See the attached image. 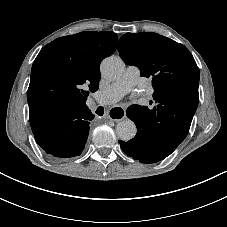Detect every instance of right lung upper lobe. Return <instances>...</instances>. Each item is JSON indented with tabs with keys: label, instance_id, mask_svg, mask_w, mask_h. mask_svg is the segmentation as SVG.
<instances>
[{
	"label": "right lung upper lobe",
	"instance_id": "right-lung-upper-lobe-1",
	"mask_svg": "<svg viewBox=\"0 0 227 227\" xmlns=\"http://www.w3.org/2000/svg\"><path fill=\"white\" fill-rule=\"evenodd\" d=\"M114 32H81L58 38L36 57L27 92L28 103H50L67 110L86 105L89 92L98 89L101 61L117 47Z\"/></svg>",
	"mask_w": 227,
	"mask_h": 227
}]
</instances>
